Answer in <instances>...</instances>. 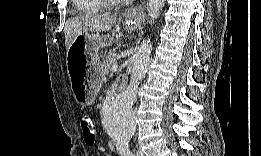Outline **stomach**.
<instances>
[{
	"mask_svg": "<svg viewBox=\"0 0 261 156\" xmlns=\"http://www.w3.org/2000/svg\"><path fill=\"white\" fill-rule=\"evenodd\" d=\"M141 14L131 10L125 20V29H137ZM99 33H80L67 50V67L75 100L82 106H89L95 101L102 82V60L99 49L106 46ZM85 56L84 67H77V60Z\"/></svg>",
	"mask_w": 261,
	"mask_h": 156,
	"instance_id": "obj_1",
	"label": "stomach"
}]
</instances>
